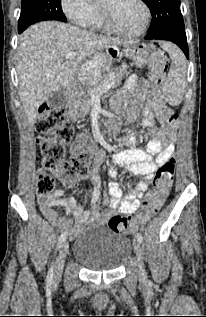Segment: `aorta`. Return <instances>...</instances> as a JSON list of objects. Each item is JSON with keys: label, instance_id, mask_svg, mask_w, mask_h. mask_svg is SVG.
Here are the masks:
<instances>
[{"label": "aorta", "instance_id": "1", "mask_svg": "<svg viewBox=\"0 0 206 317\" xmlns=\"http://www.w3.org/2000/svg\"><path fill=\"white\" fill-rule=\"evenodd\" d=\"M87 1L91 3V2H93V1H95V0H87Z\"/></svg>", "mask_w": 206, "mask_h": 317}]
</instances>
